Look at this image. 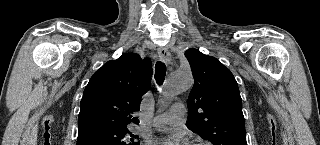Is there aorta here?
Wrapping results in <instances>:
<instances>
[{
  "label": "aorta",
  "instance_id": "762f6f07",
  "mask_svg": "<svg viewBox=\"0 0 320 145\" xmlns=\"http://www.w3.org/2000/svg\"><path fill=\"white\" fill-rule=\"evenodd\" d=\"M192 85L193 78L190 72L174 71L164 86L162 102L168 103L179 93L190 89Z\"/></svg>",
  "mask_w": 320,
  "mask_h": 145
}]
</instances>
